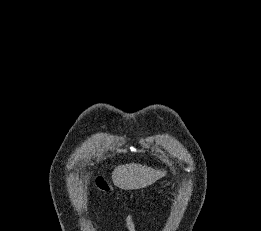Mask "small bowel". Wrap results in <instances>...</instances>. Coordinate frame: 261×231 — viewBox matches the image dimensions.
Instances as JSON below:
<instances>
[{
  "label": "small bowel",
  "instance_id": "c3829d8e",
  "mask_svg": "<svg viewBox=\"0 0 261 231\" xmlns=\"http://www.w3.org/2000/svg\"><path fill=\"white\" fill-rule=\"evenodd\" d=\"M143 216H147L148 213L142 212ZM125 225L129 231H136L134 216L132 214H127L124 217Z\"/></svg>",
  "mask_w": 261,
  "mask_h": 231
}]
</instances>
